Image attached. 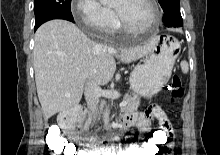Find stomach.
Instances as JSON below:
<instances>
[{"instance_id":"stomach-1","label":"stomach","mask_w":220,"mask_h":155,"mask_svg":"<svg viewBox=\"0 0 220 155\" xmlns=\"http://www.w3.org/2000/svg\"><path fill=\"white\" fill-rule=\"evenodd\" d=\"M178 48L175 38H155L153 49L130 75V87L135 94L150 98L162 90L171 77Z\"/></svg>"}]
</instances>
